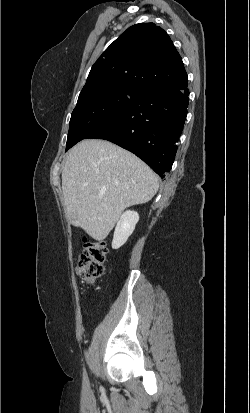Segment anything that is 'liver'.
Returning a JSON list of instances; mask_svg holds the SVG:
<instances>
[{
	"label": "liver",
	"mask_w": 250,
	"mask_h": 413,
	"mask_svg": "<svg viewBox=\"0 0 250 413\" xmlns=\"http://www.w3.org/2000/svg\"><path fill=\"white\" fill-rule=\"evenodd\" d=\"M159 188L152 169L105 140H83L68 153L62 171L66 212L76 227L104 240L124 209L150 201Z\"/></svg>",
	"instance_id": "obj_1"
}]
</instances>
